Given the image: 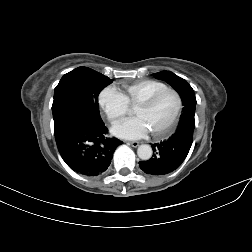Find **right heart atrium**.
<instances>
[{
	"instance_id": "1",
	"label": "right heart atrium",
	"mask_w": 252,
	"mask_h": 252,
	"mask_svg": "<svg viewBox=\"0 0 252 252\" xmlns=\"http://www.w3.org/2000/svg\"><path fill=\"white\" fill-rule=\"evenodd\" d=\"M99 105L111 123L121 120L127 113L129 103L119 90L106 87L99 94Z\"/></svg>"
}]
</instances>
